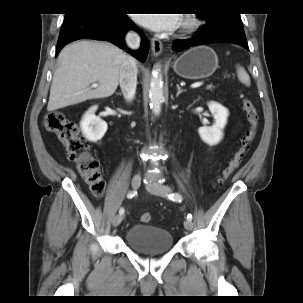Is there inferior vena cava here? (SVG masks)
I'll return each instance as SVG.
<instances>
[{
	"label": "inferior vena cava",
	"instance_id": "obj_1",
	"mask_svg": "<svg viewBox=\"0 0 303 303\" xmlns=\"http://www.w3.org/2000/svg\"><path fill=\"white\" fill-rule=\"evenodd\" d=\"M126 43L131 49H138L140 37L137 33L129 31L126 34ZM120 88L126 101L134 98L137 86V63L135 58L125 55L120 69L119 78Z\"/></svg>",
	"mask_w": 303,
	"mask_h": 303
}]
</instances>
